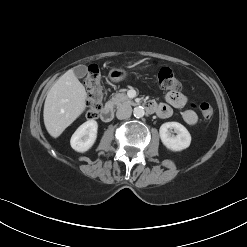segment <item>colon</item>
Returning a JSON list of instances; mask_svg holds the SVG:
<instances>
[{
    "instance_id": "5ec220e1",
    "label": "colon",
    "mask_w": 247,
    "mask_h": 247,
    "mask_svg": "<svg viewBox=\"0 0 247 247\" xmlns=\"http://www.w3.org/2000/svg\"><path fill=\"white\" fill-rule=\"evenodd\" d=\"M157 81L164 90L177 91L181 84L174 72L168 67H162L158 70ZM85 85L88 90V100L86 106V116L89 119L96 118L103 105V91L101 84V74L96 65H91L85 77ZM204 119H210L213 109L208 103H201L198 107Z\"/></svg>"
}]
</instances>
